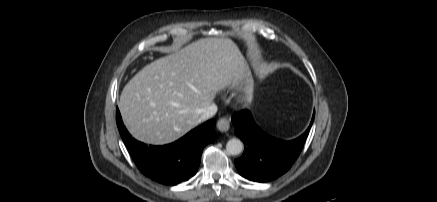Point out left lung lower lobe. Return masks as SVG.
Listing matches in <instances>:
<instances>
[{
    "label": "left lung lower lobe",
    "instance_id": "1",
    "mask_svg": "<svg viewBox=\"0 0 437 202\" xmlns=\"http://www.w3.org/2000/svg\"><path fill=\"white\" fill-rule=\"evenodd\" d=\"M314 116L315 112L310 126L301 136L283 141L263 132L248 110L235 113L232 116L235 134L245 145L243 155L235 160L239 174L251 181L268 182L287 172L304 146Z\"/></svg>",
    "mask_w": 437,
    "mask_h": 202
}]
</instances>
